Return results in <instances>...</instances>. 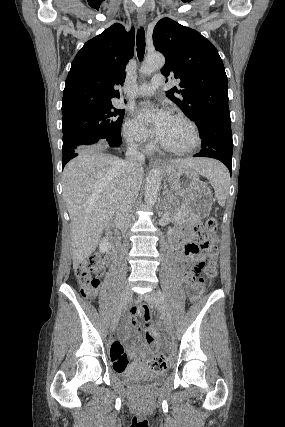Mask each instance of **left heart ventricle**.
<instances>
[{"mask_svg":"<svg viewBox=\"0 0 285 427\" xmlns=\"http://www.w3.org/2000/svg\"><path fill=\"white\" fill-rule=\"evenodd\" d=\"M161 141L176 148H186L193 143V133L185 122L170 117Z\"/></svg>","mask_w":285,"mask_h":427,"instance_id":"1","label":"left heart ventricle"}]
</instances>
